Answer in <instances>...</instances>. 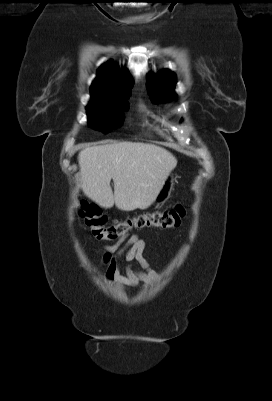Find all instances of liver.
<instances>
[{
  "label": "liver",
  "instance_id": "obj_1",
  "mask_svg": "<svg viewBox=\"0 0 272 401\" xmlns=\"http://www.w3.org/2000/svg\"><path fill=\"white\" fill-rule=\"evenodd\" d=\"M78 161L84 194L104 208L115 204L123 211L148 208L177 165L160 146L127 141L86 147Z\"/></svg>",
  "mask_w": 272,
  "mask_h": 401
}]
</instances>
